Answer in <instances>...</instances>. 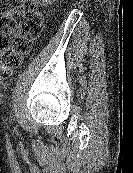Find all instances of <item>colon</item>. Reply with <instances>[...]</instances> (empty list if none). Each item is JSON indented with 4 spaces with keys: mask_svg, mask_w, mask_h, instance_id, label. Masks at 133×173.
I'll return each instance as SVG.
<instances>
[{
    "mask_svg": "<svg viewBox=\"0 0 133 173\" xmlns=\"http://www.w3.org/2000/svg\"><path fill=\"white\" fill-rule=\"evenodd\" d=\"M42 29L43 17L33 0H0V76L12 74Z\"/></svg>",
    "mask_w": 133,
    "mask_h": 173,
    "instance_id": "obj_1",
    "label": "colon"
}]
</instances>
